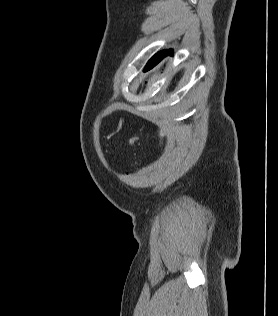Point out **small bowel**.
I'll use <instances>...</instances> for the list:
<instances>
[{
  "label": "small bowel",
  "mask_w": 278,
  "mask_h": 316,
  "mask_svg": "<svg viewBox=\"0 0 278 316\" xmlns=\"http://www.w3.org/2000/svg\"><path fill=\"white\" fill-rule=\"evenodd\" d=\"M137 138L136 137H133L129 140V143L130 144H134L136 142Z\"/></svg>",
  "instance_id": "small-bowel-1"
}]
</instances>
